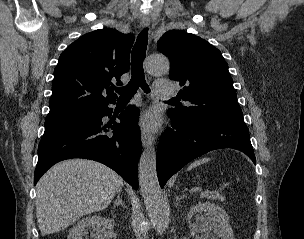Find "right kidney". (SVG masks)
Instances as JSON below:
<instances>
[{
  "instance_id": "ca27d5eb",
  "label": "right kidney",
  "mask_w": 304,
  "mask_h": 239,
  "mask_svg": "<svg viewBox=\"0 0 304 239\" xmlns=\"http://www.w3.org/2000/svg\"><path fill=\"white\" fill-rule=\"evenodd\" d=\"M92 227L93 232L91 237L93 239H105L106 229H113L112 220L102 216H88L80 220L70 231L67 239H82L85 228Z\"/></svg>"
}]
</instances>
